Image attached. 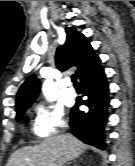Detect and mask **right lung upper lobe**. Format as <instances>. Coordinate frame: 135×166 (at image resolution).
I'll return each instance as SVG.
<instances>
[{
	"label": "right lung upper lobe",
	"mask_w": 135,
	"mask_h": 166,
	"mask_svg": "<svg viewBox=\"0 0 135 166\" xmlns=\"http://www.w3.org/2000/svg\"><path fill=\"white\" fill-rule=\"evenodd\" d=\"M65 32L66 41L57 48L55 54L56 66L61 71L75 66L77 67L76 74L80 76L100 58L94 53L92 46L86 41V37L74 27L65 28ZM39 91L40 82L33 74L24 81L18 90L16 110L24 106H31Z\"/></svg>",
	"instance_id": "cb5924a9"
}]
</instances>
